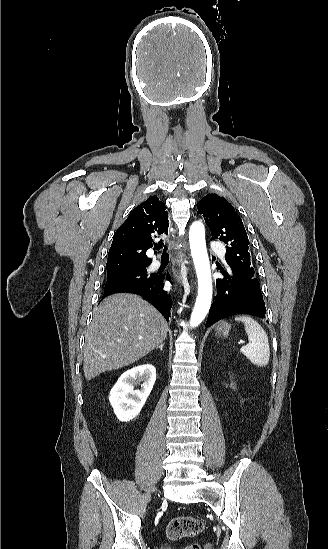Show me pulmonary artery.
<instances>
[{
	"mask_svg": "<svg viewBox=\"0 0 328 549\" xmlns=\"http://www.w3.org/2000/svg\"><path fill=\"white\" fill-rule=\"evenodd\" d=\"M159 265V261L156 259H153L151 262V267L156 268Z\"/></svg>",
	"mask_w": 328,
	"mask_h": 549,
	"instance_id": "1",
	"label": "pulmonary artery"
}]
</instances>
